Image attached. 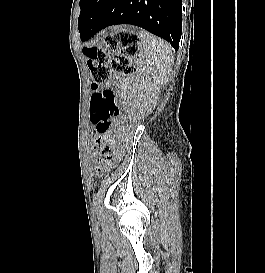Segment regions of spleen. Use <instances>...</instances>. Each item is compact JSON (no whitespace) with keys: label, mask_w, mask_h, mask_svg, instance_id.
<instances>
[{"label":"spleen","mask_w":265,"mask_h":273,"mask_svg":"<svg viewBox=\"0 0 265 273\" xmlns=\"http://www.w3.org/2000/svg\"><path fill=\"white\" fill-rule=\"evenodd\" d=\"M144 50L147 67L150 70L153 82L156 85H164L169 77L171 66L174 62L173 50L165 41L155 37L147 31L139 33Z\"/></svg>","instance_id":"1"}]
</instances>
